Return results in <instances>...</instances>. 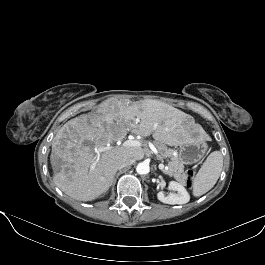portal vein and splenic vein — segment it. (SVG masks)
<instances>
[{
	"instance_id": "obj_1",
	"label": "portal vein and splenic vein",
	"mask_w": 265,
	"mask_h": 265,
	"mask_svg": "<svg viewBox=\"0 0 265 265\" xmlns=\"http://www.w3.org/2000/svg\"><path fill=\"white\" fill-rule=\"evenodd\" d=\"M117 144H118V146H120L121 145V141H118ZM122 146H125V147H141L142 143L140 141L134 139V138H129L128 140H126V141H124L122 143ZM109 148H110V146H106V147L99 146V147L95 148V153L99 157L101 152H103L105 150H108ZM95 165H96V163H93L91 168H94ZM158 167H159L160 170H164L166 168V166H164V164H162V163L159 164Z\"/></svg>"
}]
</instances>
